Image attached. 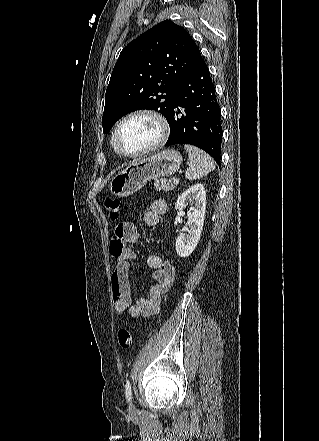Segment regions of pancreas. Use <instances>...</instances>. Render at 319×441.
Listing matches in <instances>:
<instances>
[{
    "label": "pancreas",
    "instance_id": "pancreas-1",
    "mask_svg": "<svg viewBox=\"0 0 319 441\" xmlns=\"http://www.w3.org/2000/svg\"><path fill=\"white\" fill-rule=\"evenodd\" d=\"M174 185L167 179H156L154 183V188L156 191L169 192L174 189Z\"/></svg>",
    "mask_w": 319,
    "mask_h": 441
}]
</instances>
